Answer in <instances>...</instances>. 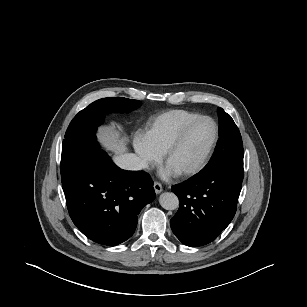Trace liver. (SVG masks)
Returning a JSON list of instances; mask_svg holds the SVG:
<instances>
[{
  "instance_id": "1",
  "label": "liver",
  "mask_w": 307,
  "mask_h": 307,
  "mask_svg": "<svg viewBox=\"0 0 307 307\" xmlns=\"http://www.w3.org/2000/svg\"><path fill=\"white\" fill-rule=\"evenodd\" d=\"M100 142L107 150L115 153V159L126 151V139H118L114 129L107 128L100 132Z\"/></svg>"
}]
</instances>
